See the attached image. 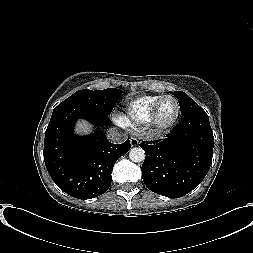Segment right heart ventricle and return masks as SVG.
Returning a JSON list of instances; mask_svg holds the SVG:
<instances>
[{
  "mask_svg": "<svg viewBox=\"0 0 253 253\" xmlns=\"http://www.w3.org/2000/svg\"><path fill=\"white\" fill-rule=\"evenodd\" d=\"M161 95H144L128 103L118 120L122 125L135 127L146 123L150 111Z\"/></svg>",
  "mask_w": 253,
  "mask_h": 253,
  "instance_id": "right-heart-ventricle-1",
  "label": "right heart ventricle"
}]
</instances>
